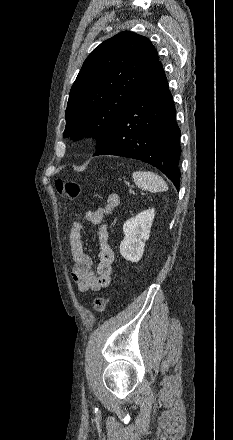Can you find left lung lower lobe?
I'll use <instances>...</instances> for the list:
<instances>
[{"label":"left lung lower lobe","mask_w":233,"mask_h":440,"mask_svg":"<svg viewBox=\"0 0 233 440\" xmlns=\"http://www.w3.org/2000/svg\"><path fill=\"white\" fill-rule=\"evenodd\" d=\"M176 109L160 62L121 113L109 139L94 156L138 159L161 170L179 187L181 154Z\"/></svg>","instance_id":"0a47b994"}]
</instances>
